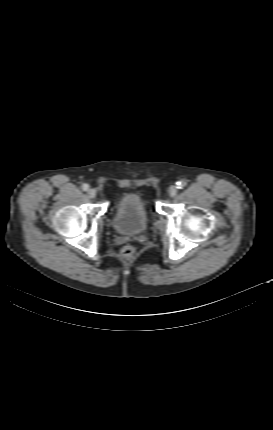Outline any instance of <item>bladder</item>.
Returning <instances> with one entry per match:
<instances>
[{
	"instance_id": "31cf9c89",
	"label": "bladder",
	"mask_w": 273,
	"mask_h": 430,
	"mask_svg": "<svg viewBox=\"0 0 273 430\" xmlns=\"http://www.w3.org/2000/svg\"><path fill=\"white\" fill-rule=\"evenodd\" d=\"M111 222L122 235L136 236L146 232L149 217L142 197L136 193L123 195L113 209Z\"/></svg>"
}]
</instances>
